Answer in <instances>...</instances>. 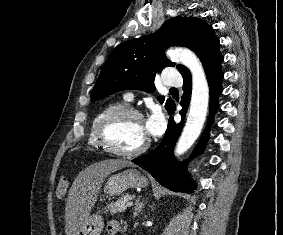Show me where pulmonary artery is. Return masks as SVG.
I'll use <instances>...</instances> for the list:
<instances>
[{"mask_svg": "<svg viewBox=\"0 0 283 235\" xmlns=\"http://www.w3.org/2000/svg\"><path fill=\"white\" fill-rule=\"evenodd\" d=\"M163 83L169 87L180 86L182 84V78L176 70H170L165 74ZM125 99L131 101L133 99V94L130 92L127 93Z\"/></svg>", "mask_w": 283, "mask_h": 235, "instance_id": "pulmonary-artery-1", "label": "pulmonary artery"}]
</instances>
